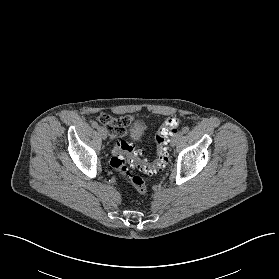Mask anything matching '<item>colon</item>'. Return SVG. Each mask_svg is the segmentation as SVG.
<instances>
[{
	"instance_id": "obj_1",
	"label": "colon",
	"mask_w": 279,
	"mask_h": 279,
	"mask_svg": "<svg viewBox=\"0 0 279 279\" xmlns=\"http://www.w3.org/2000/svg\"><path fill=\"white\" fill-rule=\"evenodd\" d=\"M115 123V122H114ZM181 125L179 118L166 119L155 134L156 162L150 164L142 159V153L137 151L133 144L124 139H117L110 161L112 168L124 176L127 181L140 193L147 191V185L141 177L131 175L129 166L135 167L145 174L153 175L159 172L166 163L167 137L175 132Z\"/></svg>"
}]
</instances>
